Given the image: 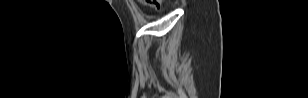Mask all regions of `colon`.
Masks as SVG:
<instances>
[{
  "instance_id": "colon-1",
  "label": "colon",
  "mask_w": 308,
  "mask_h": 98,
  "mask_svg": "<svg viewBox=\"0 0 308 98\" xmlns=\"http://www.w3.org/2000/svg\"><path fill=\"white\" fill-rule=\"evenodd\" d=\"M145 2L157 8L160 6V2L158 0H146Z\"/></svg>"
}]
</instances>
